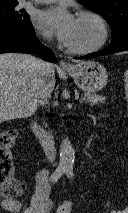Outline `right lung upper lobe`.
Returning <instances> with one entry per match:
<instances>
[{"label":"right lung upper lobe","mask_w":128,"mask_h":213,"mask_svg":"<svg viewBox=\"0 0 128 213\" xmlns=\"http://www.w3.org/2000/svg\"><path fill=\"white\" fill-rule=\"evenodd\" d=\"M18 4L17 0H0V6H8Z\"/></svg>","instance_id":"1"}]
</instances>
